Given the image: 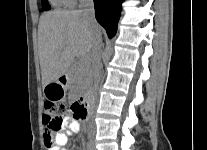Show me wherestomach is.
Listing matches in <instances>:
<instances>
[{"label": "stomach", "instance_id": "stomach-1", "mask_svg": "<svg viewBox=\"0 0 207 150\" xmlns=\"http://www.w3.org/2000/svg\"><path fill=\"white\" fill-rule=\"evenodd\" d=\"M43 94L46 98L52 100H61L66 95L65 85L58 79L51 82L43 88Z\"/></svg>", "mask_w": 207, "mask_h": 150}]
</instances>
